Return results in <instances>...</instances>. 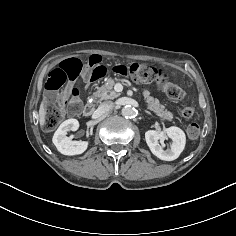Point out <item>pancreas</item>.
<instances>
[{
    "instance_id": "obj_1",
    "label": "pancreas",
    "mask_w": 236,
    "mask_h": 236,
    "mask_svg": "<svg viewBox=\"0 0 236 236\" xmlns=\"http://www.w3.org/2000/svg\"><path fill=\"white\" fill-rule=\"evenodd\" d=\"M116 84L115 80L108 79L104 85L98 87L93 96L98 103H101L103 100L115 99L120 96L119 93L113 90L114 85ZM150 91L147 89L143 90V97L147 103V108L155 113L157 116L163 120L172 121L173 114L170 111L165 110V107L160 104L158 99H155L150 95Z\"/></svg>"
}]
</instances>
